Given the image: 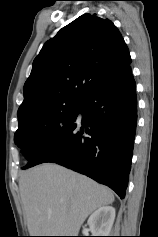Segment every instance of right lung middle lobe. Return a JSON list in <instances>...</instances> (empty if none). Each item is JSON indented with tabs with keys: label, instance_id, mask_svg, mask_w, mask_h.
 <instances>
[{
	"label": "right lung middle lobe",
	"instance_id": "dd1d6c3e",
	"mask_svg": "<svg viewBox=\"0 0 158 237\" xmlns=\"http://www.w3.org/2000/svg\"><path fill=\"white\" fill-rule=\"evenodd\" d=\"M81 102L58 98L18 116L19 127L14 135V142L28 160L45 140L73 117Z\"/></svg>",
	"mask_w": 158,
	"mask_h": 237
}]
</instances>
